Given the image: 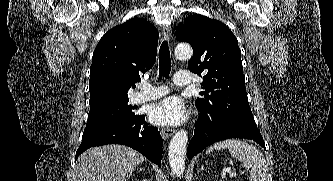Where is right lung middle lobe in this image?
Returning <instances> with one entry per match:
<instances>
[{"label": "right lung middle lobe", "mask_w": 333, "mask_h": 181, "mask_svg": "<svg viewBox=\"0 0 333 181\" xmlns=\"http://www.w3.org/2000/svg\"><path fill=\"white\" fill-rule=\"evenodd\" d=\"M128 99L90 109L84 131L96 129L135 115Z\"/></svg>", "instance_id": "dd1d6c3e"}]
</instances>
